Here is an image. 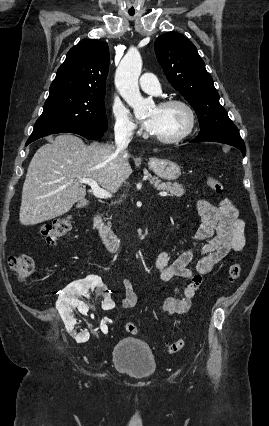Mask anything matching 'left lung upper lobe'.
Listing matches in <instances>:
<instances>
[{
  "label": "left lung upper lobe",
  "mask_w": 269,
  "mask_h": 426,
  "mask_svg": "<svg viewBox=\"0 0 269 426\" xmlns=\"http://www.w3.org/2000/svg\"><path fill=\"white\" fill-rule=\"evenodd\" d=\"M154 49L159 64L170 82L195 110L201 135L235 126L219 103L213 79L192 42L177 32L159 36Z\"/></svg>",
  "instance_id": "1"
}]
</instances>
